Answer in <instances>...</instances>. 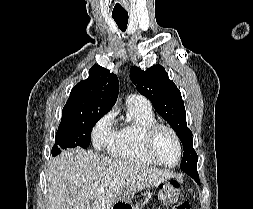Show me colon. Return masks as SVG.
Instances as JSON below:
<instances>
[{"mask_svg":"<svg viewBox=\"0 0 253 209\" xmlns=\"http://www.w3.org/2000/svg\"><path fill=\"white\" fill-rule=\"evenodd\" d=\"M179 187L180 184L176 180H172L168 185L167 188H164L163 194L168 200H172L174 197H176L179 194ZM176 209H191L190 204L186 201L180 202Z\"/></svg>","mask_w":253,"mask_h":209,"instance_id":"obj_1","label":"colon"}]
</instances>
